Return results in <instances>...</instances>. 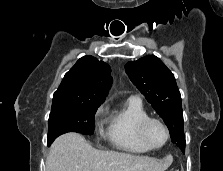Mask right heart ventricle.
<instances>
[{"label":"right heart ventricle","mask_w":223,"mask_h":171,"mask_svg":"<svg viewBox=\"0 0 223 171\" xmlns=\"http://www.w3.org/2000/svg\"><path fill=\"white\" fill-rule=\"evenodd\" d=\"M149 117L139 99L128 98L124 105L110 113L107 119L106 137L117 149L128 153L144 154L151 149L139 136V125Z\"/></svg>","instance_id":"e07e8e85"}]
</instances>
